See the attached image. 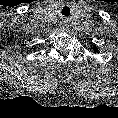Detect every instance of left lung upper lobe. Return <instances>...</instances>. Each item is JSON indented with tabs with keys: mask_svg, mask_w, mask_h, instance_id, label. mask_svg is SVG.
<instances>
[{
	"mask_svg": "<svg viewBox=\"0 0 118 118\" xmlns=\"http://www.w3.org/2000/svg\"><path fill=\"white\" fill-rule=\"evenodd\" d=\"M93 49H94L95 52L97 51V48L96 47H94Z\"/></svg>",
	"mask_w": 118,
	"mask_h": 118,
	"instance_id": "1",
	"label": "left lung upper lobe"
}]
</instances>
